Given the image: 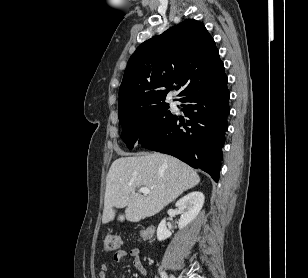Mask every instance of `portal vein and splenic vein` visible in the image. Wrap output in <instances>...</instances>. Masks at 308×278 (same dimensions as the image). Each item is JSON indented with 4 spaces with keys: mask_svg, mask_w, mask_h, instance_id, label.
<instances>
[{
    "mask_svg": "<svg viewBox=\"0 0 308 278\" xmlns=\"http://www.w3.org/2000/svg\"><path fill=\"white\" fill-rule=\"evenodd\" d=\"M139 191L144 195H148L150 193V189L148 187H141Z\"/></svg>",
    "mask_w": 308,
    "mask_h": 278,
    "instance_id": "portal-vein-and-splenic-vein-1",
    "label": "portal vein and splenic vein"
}]
</instances>
